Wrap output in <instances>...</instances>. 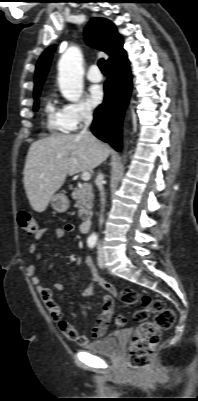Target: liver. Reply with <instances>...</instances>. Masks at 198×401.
<instances>
[{"label":"liver","instance_id":"6515ba94","mask_svg":"<svg viewBox=\"0 0 198 401\" xmlns=\"http://www.w3.org/2000/svg\"><path fill=\"white\" fill-rule=\"evenodd\" d=\"M110 149L82 134L53 135L31 144L24 167V187L36 212L46 210L67 175L87 172L102 163Z\"/></svg>","mask_w":198,"mask_h":401}]
</instances>
